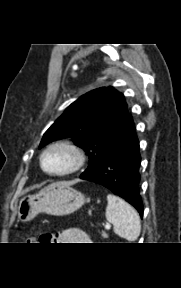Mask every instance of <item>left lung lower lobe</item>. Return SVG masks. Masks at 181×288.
<instances>
[{
    "instance_id": "0a47b994",
    "label": "left lung lower lobe",
    "mask_w": 181,
    "mask_h": 288,
    "mask_svg": "<svg viewBox=\"0 0 181 288\" xmlns=\"http://www.w3.org/2000/svg\"><path fill=\"white\" fill-rule=\"evenodd\" d=\"M141 156L133 119L129 116L123 134L97 167L80 178L98 183L125 199L143 216L139 193Z\"/></svg>"
}]
</instances>
